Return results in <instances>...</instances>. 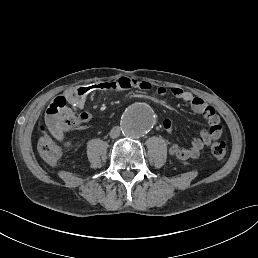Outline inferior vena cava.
I'll return each instance as SVG.
<instances>
[{
    "instance_id": "obj_1",
    "label": "inferior vena cava",
    "mask_w": 258,
    "mask_h": 258,
    "mask_svg": "<svg viewBox=\"0 0 258 258\" xmlns=\"http://www.w3.org/2000/svg\"><path fill=\"white\" fill-rule=\"evenodd\" d=\"M121 128L119 126H115L110 131L111 138H117L120 135Z\"/></svg>"
}]
</instances>
